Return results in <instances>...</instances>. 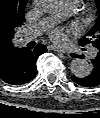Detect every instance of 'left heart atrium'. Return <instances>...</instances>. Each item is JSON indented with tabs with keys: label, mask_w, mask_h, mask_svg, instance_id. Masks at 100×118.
<instances>
[{
	"label": "left heart atrium",
	"mask_w": 100,
	"mask_h": 118,
	"mask_svg": "<svg viewBox=\"0 0 100 118\" xmlns=\"http://www.w3.org/2000/svg\"><path fill=\"white\" fill-rule=\"evenodd\" d=\"M49 36L53 41L57 43H62L66 41L69 33L62 28H54L50 31Z\"/></svg>",
	"instance_id": "39dd6f15"
}]
</instances>
